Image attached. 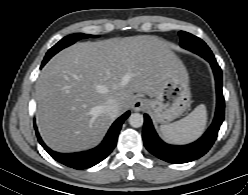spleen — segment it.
Listing matches in <instances>:
<instances>
[{"instance_id":"spleen-1","label":"spleen","mask_w":248,"mask_h":195,"mask_svg":"<svg viewBox=\"0 0 248 195\" xmlns=\"http://www.w3.org/2000/svg\"><path fill=\"white\" fill-rule=\"evenodd\" d=\"M206 123V106L201 104L185 118L168 125H161L160 131L165 141L173 144H185L201 136Z\"/></svg>"}]
</instances>
